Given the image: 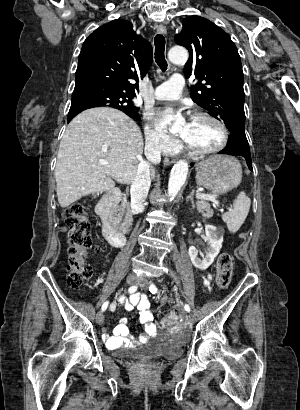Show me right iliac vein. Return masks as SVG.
<instances>
[{
    "label": "right iliac vein",
    "instance_id": "63e3f726",
    "mask_svg": "<svg viewBox=\"0 0 300 410\" xmlns=\"http://www.w3.org/2000/svg\"><path fill=\"white\" fill-rule=\"evenodd\" d=\"M126 282H127L129 285H134V284H136V283L138 282V277H137L135 274H129V275L126 277ZM96 322H97L99 325L103 324V322H104V314H103V312L99 311V312L96 314Z\"/></svg>",
    "mask_w": 300,
    "mask_h": 410
}]
</instances>
